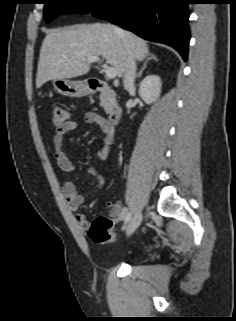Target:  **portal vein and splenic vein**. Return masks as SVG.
<instances>
[{
  "label": "portal vein and splenic vein",
  "instance_id": "portal-vein-and-splenic-vein-1",
  "mask_svg": "<svg viewBox=\"0 0 236 321\" xmlns=\"http://www.w3.org/2000/svg\"><path fill=\"white\" fill-rule=\"evenodd\" d=\"M100 61V58L98 56H93L88 58V62H98ZM105 74L108 78L112 79L117 76V71L113 67H105Z\"/></svg>",
  "mask_w": 236,
  "mask_h": 321
}]
</instances>
